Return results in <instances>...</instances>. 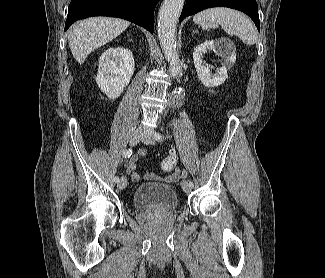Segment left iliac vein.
<instances>
[{"label": "left iliac vein", "instance_id": "4c4485c4", "mask_svg": "<svg viewBox=\"0 0 325 278\" xmlns=\"http://www.w3.org/2000/svg\"><path fill=\"white\" fill-rule=\"evenodd\" d=\"M141 141L145 144H149V145H153L155 144V140L153 138V135L150 131H145L141 137ZM181 186L182 189L184 190V192L189 193L192 189V187H190L189 183L186 180H183L181 182Z\"/></svg>", "mask_w": 325, "mask_h": 278}]
</instances>
